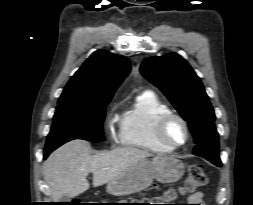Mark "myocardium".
Masks as SVG:
<instances>
[{"mask_svg":"<svg viewBox=\"0 0 253 205\" xmlns=\"http://www.w3.org/2000/svg\"><path fill=\"white\" fill-rule=\"evenodd\" d=\"M173 121H178L184 129L185 138L180 143L172 142L167 136V129ZM155 136H156V139L158 140V142L161 145H163L164 147H166L170 150L178 149L180 147H183L188 142V140L190 138L189 125H188L187 121L182 116L171 112V113L163 115L158 120V122L155 126Z\"/></svg>","mask_w":253,"mask_h":205,"instance_id":"f54148a6","label":"myocardium"}]
</instances>
